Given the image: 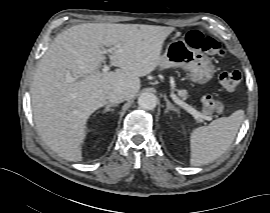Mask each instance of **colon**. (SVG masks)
Instances as JSON below:
<instances>
[{"label": "colon", "instance_id": "1", "mask_svg": "<svg viewBox=\"0 0 270 213\" xmlns=\"http://www.w3.org/2000/svg\"><path fill=\"white\" fill-rule=\"evenodd\" d=\"M186 41L192 48L201 49L208 54L216 56H223L225 54L224 48L216 39L205 36L199 31L192 30L188 32ZM240 80L241 75L236 70L224 73L220 77L221 85L230 94L238 91ZM201 102L202 113L205 116H215L222 110V103L213 95H204Z\"/></svg>", "mask_w": 270, "mask_h": 213}]
</instances>
